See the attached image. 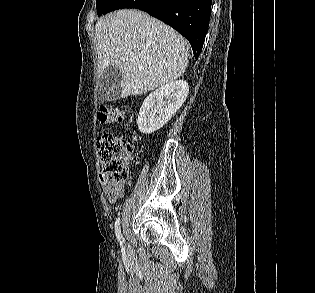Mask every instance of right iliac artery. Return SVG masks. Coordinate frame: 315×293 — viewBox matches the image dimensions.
<instances>
[{
	"label": "right iliac artery",
	"instance_id": "82829eb1",
	"mask_svg": "<svg viewBox=\"0 0 315 293\" xmlns=\"http://www.w3.org/2000/svg\"><path fill=\"white\" fill-rule=\"evenodd\" d=\"M115 232H116V236H117V239L120 243V246H124L125 244V240L121 234V231H120V218H118L115 222Z\"/></svg>",
	"mask_w": 315,
	"mask_h": 293
}]
</instances>
